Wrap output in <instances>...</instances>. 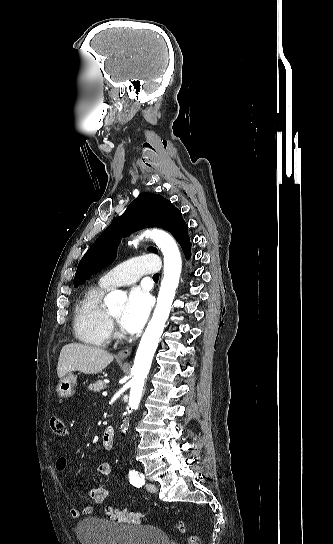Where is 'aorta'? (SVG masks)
<instances>
[{"label": "aorta", "mask_w": 333, "mask_h": 544, "mask_svg": "<svg viewBox=\"0 0 333 544\" xmlns=\"http://www.w3.org/2000/svg\"><path fill=\"white\" fill-rule=\"evenodd\" d=\"M144 237L152 239L161 249L164 256V277L153 316L141 338L132 367L133 378L128 402L130 409H137L139 406L145 379L169 317L182 268L179 249L170 235L161 230L146 231L134 241V244ZM125 301L126 294L119 290L110 292L105 298V304L109 308H115Z\"/></svg>", "instance_id": "762f6f07"}]
</instances>
